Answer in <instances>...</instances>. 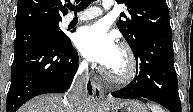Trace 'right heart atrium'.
<instances>
[{"label":"right heart atrium","instance_id":"obj_1","mask_svg":"<svg viewBox=\"0 0 193 112\" xmlns=\"http://www.w3.org/2000/svg\"><path fill=\"white\" fill-rule=\"evenodd\" d=\"M79 68H80L81 70H86V69H87V63L85 62V60L81 59V60L79 61Z\"/></svg>","mask_w":193,"mask_h":112}]
</instances>
